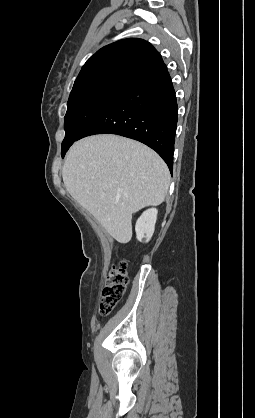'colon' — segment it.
Returning a JSON list of instances; mask_svg holds the SVG:
<instances>
[{
  "mask_svg": "<svg viewBox=\"0 0 255 418\" xmlns=\"http://www.w3.org/2000/svg\"><path fill=\"white\" fill-rule=\"evenodd\" d=\"M128 280V272L124 262L117 267H113L108 274L102 291V298L99 307L102 315L109 314L119 303L125 293Z\"/></svg>",
  "mask_w": 255,
  "mask_h": 418,
  "instance_id": "1",
  "label": "colon"
}]
</instances>
